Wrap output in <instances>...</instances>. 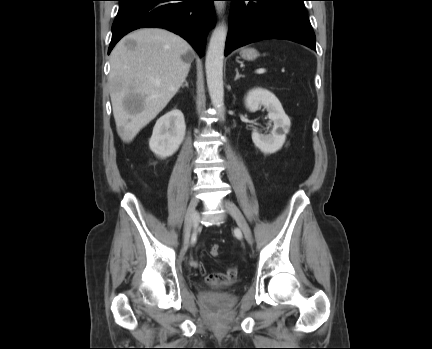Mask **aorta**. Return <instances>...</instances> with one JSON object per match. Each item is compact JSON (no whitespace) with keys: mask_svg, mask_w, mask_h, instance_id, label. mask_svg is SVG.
<instances>
[{"mask_svg":"<svg viewBox=\"0 0 432 349\" xmlns=\"http://www.w3.org/2000/svg\"><path fill=\"white\" fill-rule=\"evenodd\" d=\"M227 37V27L224 22L214 29L207 49L205 69L207 86L213 107L218 116L224 120V86H223V59Z\"/></svg>","mask_w":432,"mask_h":349,"instance_id":"obj_1","label":"aorta"}]
</instances>
